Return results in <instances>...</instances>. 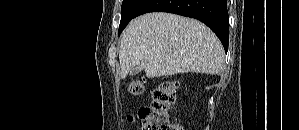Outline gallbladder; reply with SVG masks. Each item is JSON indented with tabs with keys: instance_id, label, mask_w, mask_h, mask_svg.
<instances>
[{
	"instance_id": "obj_1",
	"label": "gallbladder",
	"mask_w": 299,
	"mask_h": 130,
	"mask_svg": "<svg viewBox=\"0 0 299 130\" xmlns=\"http://www.w3.org/2000/svg\"><path fill=\"white\" fill-rule=\"evenodd\" d=\"M142 71V69L139 67V66H133L131 68V70L129 71V75L130 76H135L137 75L138 73H140Z\"/></svg>"
}]
</instances>
